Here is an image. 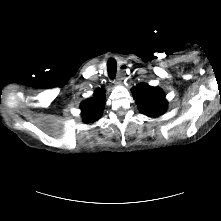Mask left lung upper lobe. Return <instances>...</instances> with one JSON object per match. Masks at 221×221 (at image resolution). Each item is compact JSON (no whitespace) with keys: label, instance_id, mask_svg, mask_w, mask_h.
<instances>
[{"label":"left lung upper lobe","instance_id":"1","mask_svg":"<svg viewBox=\"0 0 221 221\" xmlns=\"http://www.w3.org/2000/svg\"><path fill=\"white\" fill-rule=\"evenodd\" d=\"M139 110L150 117L163 114L167 108L165 94L158 87H151L141 83L132 89Z\"/></svg>","mask_w":221,"mask_h":221}]
</instances>
